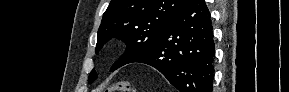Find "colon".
Returning <instances> with one entry per match:
<instances>
[{
    "label": "colon",
    "instance_id": "colon-1",
    "mask_svg": "<svg viewBox=\"0 0 289 92\" xmlns=\"http://www.w3.org/2000/svg\"><path fill=\"white\" fill-rule=\"evenodd\" d=\"M112 91L134 92V88L129 81L123 80L116 82L111 87L105 90V92H112Z\"/></svg>",
    "mask_w": 289,
    "mask_h": 92
}]
</instances>
